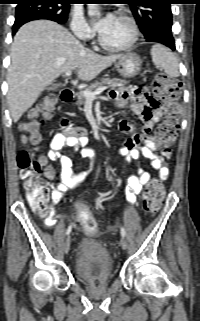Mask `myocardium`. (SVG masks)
<instances>
[{
    "mask_svg": "<svg viewBox=\"0 0 200 321\" xmlns=\"http://www.w3.org/2000/svg\"><path fill=\"white\" fill-rule=\"evenodd\" d=\"M117 16L121 17L129 22V24L131 25V29H132V36H131V39L129 40V42H127L126 44L121 45V46H112L104 40V38L102 37L101 34H99L98 42H99L100 46L110 52L127 51L130 48H132L139 39V27H138L136 20L131 15H129L123 11L117 12Z\"/></svg>",
    "mask_w": 200,
    "mask_h": 321,
    "instance_id": "1",
    "label": "myocardium"
}]
</instances>
